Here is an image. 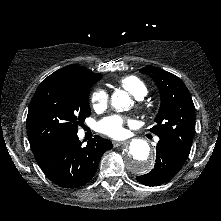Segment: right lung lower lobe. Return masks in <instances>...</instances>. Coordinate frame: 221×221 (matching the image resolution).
Here are the masks:
<instances>
[{
	"label": "right lung lower lobe",
	"mask_w": 221,
	"mask_h": 221,
	"mask_svg": "<svg viewBox=\"0 0 221 221\" xmlns=\"http://www.w3.org/2000/svg\"><path fill=\"white\" fill-rule=\"evenodd\" d=\"M111 141L95 136L82 146L77 132L49 139L31 147L39 166L55 184L65 188L84 186L95 175Z\"/></svg>",
	"instance_id": "obj_1"
}]
</instances>
